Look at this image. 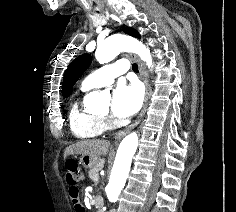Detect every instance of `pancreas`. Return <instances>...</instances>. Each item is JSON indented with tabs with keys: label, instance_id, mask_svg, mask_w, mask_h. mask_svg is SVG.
Here are the masks:
<instances>
[{
	"label": "pancreas",
	"instance_id": "obj_1",
	"mask_svg": "<svg viewBox=\"0 0 236 212\" xmlns=\"http://www.w3.org/2000/svg\"><path fill=\"white\" fill-rule=\"evenodd\" d=\"M102 168V165L100 163H98L97 165H95L92 169H90L89 171V177L92 181L96 182L98 178V173L100 171V169Z\"/></svg>",
	"mask_w": 236,
	"mask_h": 212
}]
</instances>
